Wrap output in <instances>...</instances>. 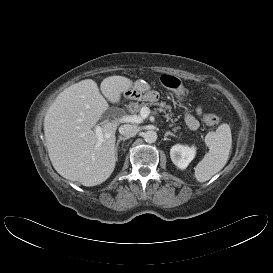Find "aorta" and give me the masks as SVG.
<instances>
[{"instance_id":"1","label":"aorta","mask_w":273,"mask_h":273,"mask_svg":"<svg viewBox=\"0 0 273 273\" xmlns=\"http://www.w3.org/2000/svg\"><path fill=\"white\" fill-rule=\"evenodd\" d=\"M157 137V133L153 130H148L143 135V138L147 143H154L157 140Z\"/></svg>"}]
</instances>
